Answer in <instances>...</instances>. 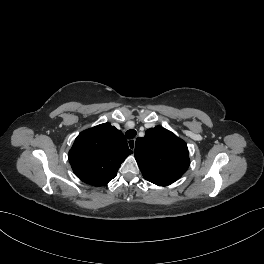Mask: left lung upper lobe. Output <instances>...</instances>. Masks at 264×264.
Returning a JSON list of instances; mask_svg holds the SVG:
<instances>
[{
  "instance_id": "1",
  "label": "left lung upper lobe",
  "mask_w": 264,
  "mask_h": 264,
  "mask_svg": "<svg viewBox=\"0 0 264 264\" xmlns=\"http://www.w3.org/2000/svg\"><path fill=\"white\" fill-rule=\"evenodd\" d=\"M135 159L146 180L179 179L190 165L187 144L171 131L156 126L135 143Z\"/></svg>"
}]
</instances>
